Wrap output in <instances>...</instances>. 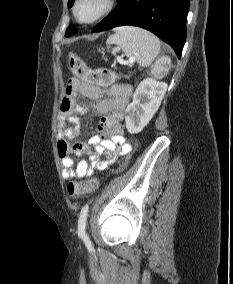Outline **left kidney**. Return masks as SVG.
Listing matches in <instances>:
<instances>
[{"instance_id": "obj_1", "label": "left kidney", "mask_w": 233, "mask_h": 284, "mask_svg": "<svg viewBox=\"0 0 233 284\" xmlns=\"http://www.w3.org/2000/svg\"><path fill=\"white\" fill-rule=\"evenodd\" d=\"M166 90V83L153 78H146L138 85L126 109L125 123L129 133L143 130L158 110Z\"/></svg>"}]
</instances>
